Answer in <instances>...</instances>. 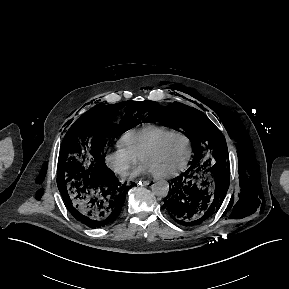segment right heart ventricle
<instances>
[{
    "label": "right heart ventricle",
    "mask_w": 289,
    "mask_h": 289,
    "mask_svg": "<svg viewBox=\"0 0 289 289\" xmlns=\"http://www.w3.org/2000/svg\"><path fill=\"white\" fill-rule=\"evenodd\" d=\"M176 130L167 126L146 124L124 133L120 143L127 147L137 157L163 136Z\"/></svg>",
    "instance_id": "right-heart-ventricle-1"
}]
</instances>
